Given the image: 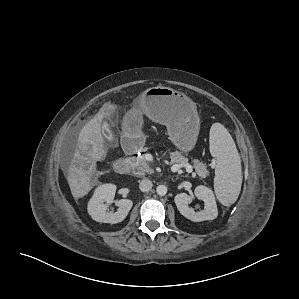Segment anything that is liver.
<instances>
[{
  "label": "liver",
  "mask_w": 299,
  "mask_h": 299,
  "mask_svg": "<svg viewBox=\"0 0 299 299\" xmlns=\"http://www.w3.org/2000/svg\"><path fill=\"white\" fill-rule=\"evenodd\" d=\"M115 105L106 104L81 129L78 144L67 169V181L74 199L88 194L92 188V176L96 171V162L107 155L101 133L104 118L111 119Z\"/></svg>",
  "instance_id": "1"
}]
</instances>
